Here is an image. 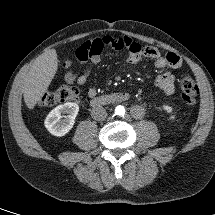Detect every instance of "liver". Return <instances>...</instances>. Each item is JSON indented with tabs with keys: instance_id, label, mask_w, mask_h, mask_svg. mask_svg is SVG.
<instances>
[{
	"instance_id": "1",
	"label": "liver",
	"mask_w": 215,
	"mask_h": 215,
	"mask_svg": "<svg viewBox=\"0 0 215 215\" xmlns=\"http://www.w3.org/2000/svg\"><path fill=\"white\" fill-rule=\"evenodd\" d=\"M58 69L55 49L45 50L32 64L22 81L24 102L33 109L47 91Z\"/></svg>"
}]
</instances>
